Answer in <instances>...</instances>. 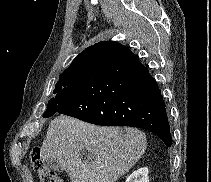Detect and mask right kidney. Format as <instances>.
<instances>
[{
    "label": "right kidney",
    "mask_w": 211,
    "mask_h": 182,
    "mask_svg": "<svg viewBox=\"0 0 211 182\" xmlns=\"http://www.w3.org/2000/svg\"><path fill=\"white\" fill-rule=\"evenodd\" d=\"M126 182H149L148 168L142 167L130 174Z\"/></svg>",
    "instance_id": "obj_1"
}]
</instances>
